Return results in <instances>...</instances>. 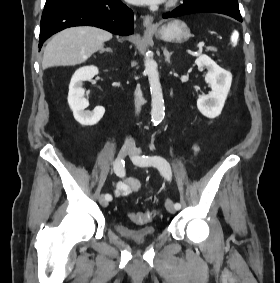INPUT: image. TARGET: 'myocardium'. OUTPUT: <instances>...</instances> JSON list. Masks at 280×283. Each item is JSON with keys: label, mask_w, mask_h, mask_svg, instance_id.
<instances>
[{"label": "myocardium", "mask_w": 280, "mask_h": 283, "mask_svg": "<svg viewBox=\"0 0 280 283\" xmlns=\"http://www.w3.org/2000/svg\"><path fill=\"white\" fill-rule=\"evenodd\" d=\"M178 2H179V0H167L166 6H167L168 8L174 7L175 5H177Z\"/></svg>", "instance_id": "obj_1"}]
</instances>
